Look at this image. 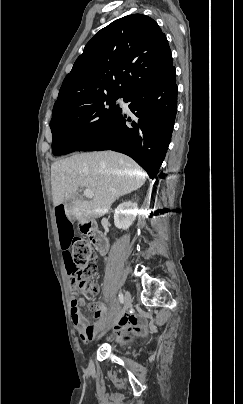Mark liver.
<instances>
[{
	"mask_svg": "<svg viewBox=\"0 0 243 404\" xmlns=\"http://www.w3.org/2000/svg\"><path fill=\"white\" fill-rule=\"evenodd\" d=\"M146 172L134 160L117 152H90L77 154L51 166V184L54 206L73 198L74 192L89 188L94 196L91 202L73 200L71 216L80 224L90 218H100L111 210L120 196L138 190L146 182Z\"/></svg>",
	"mask_w": 243,
	"mask_h": 404,
	"instance_id": "liver-1",
	"label": "liver"
}]
</instances>
